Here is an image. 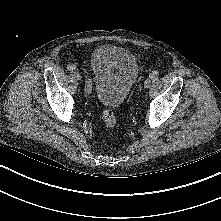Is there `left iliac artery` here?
Wrapping results in <instances>:
<instances>
[{"label": "left iliac artery", "mask_w": 221, "mask_h": 221, "mask_svg": "<svg viewBox=\"0 0 221 221\" xmlns=\"http://www.w3.org/2000/svg\"><path fill=\"white\" fill-rule=\"evenodd\" d=\"M159 73L157 71H152L149 75V78L151 79H157L158 78Z\"/></svg>", "instance_id": "44dca946"}]
</instances>
